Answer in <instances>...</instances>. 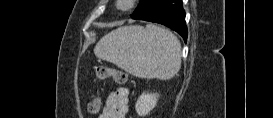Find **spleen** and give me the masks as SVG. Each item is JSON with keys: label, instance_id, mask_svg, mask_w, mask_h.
<instances>
[{"label": "spleen", "instance_id": "obj_1", "mask_svg": "<svg viewBox=\"0 0 273 118\" xmlns=\"http://www.w3.org/2000/svg\"><path fill=\"white\" fill-rule=\"evenodd\" d=\"M94 53L139 78L168 80L181 68L180 41L153 24L119 27L101 38Z\"/></svg>", "mask_w": 273, "mask_h": 118}]
</instances>
